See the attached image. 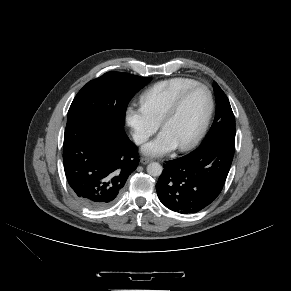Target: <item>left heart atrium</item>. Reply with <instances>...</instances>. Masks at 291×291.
<instances>
[{
	"instance_id": "1",
	"label": "left heart atrium",
	"mask_w": 291,
	"mask_h": 291,
	"mask_svg": "<svg viewBox=\"0 0 291 291\" xmlns=\"http://www.w3.org/2000/svg\"><path fill=\"white\" fill-rule=\"evenodd\" d=\"M175 139L165 130L143 147V152L150 156L164 155L177 147Z\"/></svg>"
}]
</instances>
